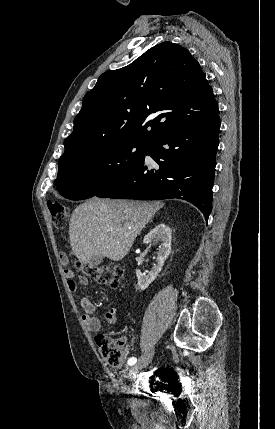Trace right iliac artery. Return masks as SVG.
I'll use <instances>...</instances> for the list:
<instances>
[{"label":"right iliac artery","mask_w":275,"mask_h":429,"mask_svg":"<svg viewBox=\"0 0 275 429\" xmlns=\"http://www.w3.org/2000/svg\"><path fill=\"white\" fill-rule=\"evenodd\" d=\"M136 362H137V358H135V357H131V358L128 360V364H129L130 366L134 365Z\"/></svg>","instance_id":"right-iliac-artery-1"}]
</instances>
